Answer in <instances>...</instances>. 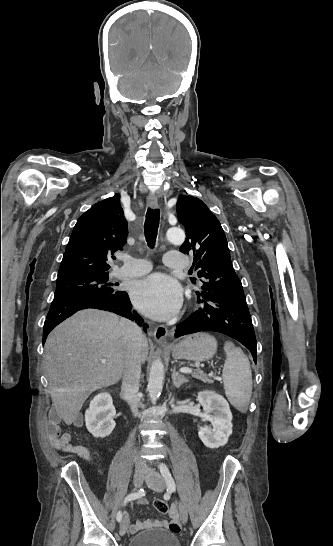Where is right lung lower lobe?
Masks as SVG:
<instances>
[{
    "instance_id": "obj_1",
    "label": "right lung lower lobe",
    "mask_w": 333,
    "mask_h": 546,
    "mask_svg": "<svg viewBox=\"0 0 333 546\" xmlns=\"http://www.w3.org/2000/svg\"><path fill=\"white\" fill-rule=\"evenodd\" d=\"M87 308L110 311L133 321L135 320L140 326H143L144 331H146L148 327V324H142L143 319L135 311H132V304L129 300L128 294L125 291H116L112 295H70L54 298L52 301L43 327V342H45L47 335L55 328V326L69 316L73 315L78 310Z\"/></svg>"
}]
</instances>
